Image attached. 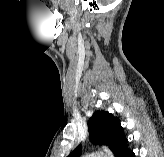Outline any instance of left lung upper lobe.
I'll list each match as a JSON object with an SVG mask.
<instances>
[{"instance_id":"obj_1","label":"left lung upper lobe","mask_w":164,"mask_h":157,"mask_svg":"<svg viewBox=\"0 0 164 157\" xmlns=\"http://www.w3.org/2000/svg\"><path fill=\"white\" fill-rule=\"evenodd\" d=\"M89 139L96 144H106L114 151L116 146L125 140L120 120L109 112L96 111L88 121ZM81 146H78L67 157H80Z\"/></svg>"}]
</instances>
